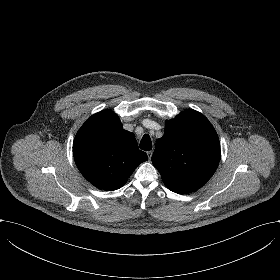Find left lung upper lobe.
Returning <instances> with one entry per match:
<instances>
[{"label":"left lung upper lobe","mask_w":280,"mask_h":280,"mask_svg":"<svg viewBox=\"0 0 280 280\" xmlns=\"http://www.w3.org/2000/svg\"><path fill=\"white\" fill-rule=\"evenodd\" d=\"M151 160L168 189L179 194L194 192L218 166V135L204 115L187 109L166 122Z\"/></svg>","instance_id":"5c2ea615"}]
</instances>
